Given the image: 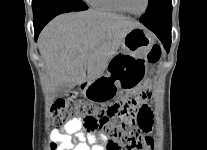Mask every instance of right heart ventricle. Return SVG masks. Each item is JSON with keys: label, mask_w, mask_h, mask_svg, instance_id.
<instances>
[{"label": "right heart ventricle", "mask_w": 207, "mask_h": 150, "mask_svg": "<svg viewBox=\"0 0 207 150\" xmlns=\"http://www.w3.org/2000/svg\"><path fill=\"white\" fill-rule=\"evenodd\" d=\"M88 3L99 10L117 13L127 14V11L122 7L119 0H87Z\"/></svg>", "instance_id": "obj_1"}]
</instances>
